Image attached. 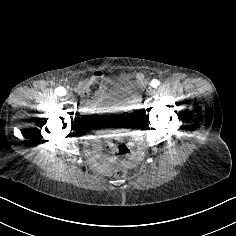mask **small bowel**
<instances>
[{"mask_svg":"<svg viewBox=\"0 0 236 236\" xmlns=\"http://www.w3.org/2000/svg\"><path fill=\"white\" fill-rule=\"evenodd\" d=\"M132 77L131 74L125 73L114 80L106 77L102 72L96 71L89 78L80 80L77 84V91L82 98V114L91 116L99 113V98H89L92 86L100 84V97H103L106 95L107 83L124 82ZM137 78L142 79L140 75ZM125 92L133 97L136 94V87L131 85ZM115 140L121 141V143L115 144ZM85 142L88 146L87 155L100 170L106 172L117 163L125 166L134 165L144 155L143 136L139 127L133 125L88 135L85 137ZM104 145L108 149V154L103 153Z\"/></svg>","mask_w":236,"mask_h":236,"instance_id":"1","label":"small bowel"}]
</instances>
